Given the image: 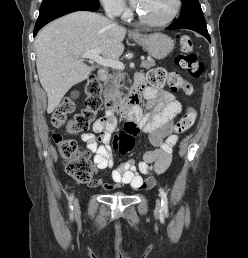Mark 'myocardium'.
<instances>
[{
  "label": "myocardium",
  "mask_w": 248,
  "mask_h": 258,
  "mask_svg": "<svg viewBox=\"0 0 248 258\" xmlns=\"http://www.w3.org/2000/svg\"><path fill=\"white\" fill-rule=\"evenodd\" d=\"M175 2H176V5H175L174 11L165 20L152 21V20H149V19L145 18L139 12H137V18L141 23H143L144 25L149 26V27H164V26H167V25L171 24L175 20V18L178 16V14L180 13V10H181V7H182V0H176Z\"/></svg>",
  "instance_id": "myocardium-1"
}]
</instances>
